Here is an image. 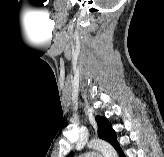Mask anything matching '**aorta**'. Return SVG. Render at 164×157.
<instances>
[{
  "label": "aorta",
  "mask_w": 164,
  "mask_h": 157,
  "mask_svg": "<svg viewBox=\"0 0 164 157\" xmlns=\"http://www.w3.org/2000/svg\"><path fill=\"white\" fill-rule=\"evenodd\" d=\"M88 147L100 151L103 157H116L117 155L115 149L104 140H92L89 142Z\"/></svg>",
  "instance_id": "obj_1"
}]
</instances>
